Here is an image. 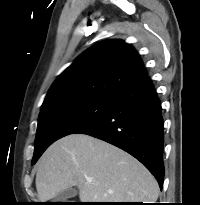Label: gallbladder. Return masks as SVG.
Instances as JSON below:
<instances>
[{
  "instance_id": "obj_1",
  "label": "gallbladder",
  "mask_w": 200,
  "mask_h": 205,
  "mask_svg": "<svg viewBox=\"0 0 200 205\" xmlns=\"http://www.w3.org/2000/svg\"><path fill=\"white\" fill-rule=\"evenodd\" d=\"M77 195V190L75 188H68L55 196V201L63 202L68 198L75 197Z\"/></svg>"
}]
</instances>
